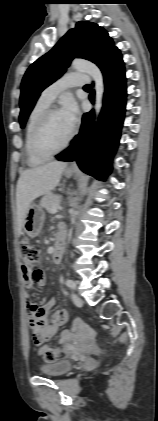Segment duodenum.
<instances>
[{
    "instance_id": "duodenum-1",
    "label": "duodenum",
    "mask_w": 158,
    "mask_h": 421,
    "mask_svg": "<svg viewBox=\"0 0 158 421\" xmlns=\"http://www.w3.org/2000/svg\"><path fill=\"white\" fill-rule=\"evenodd\" d=\"M65 236L64 234H61L58 237L57 243L55 245L54 251H53V261L55 263H60L65 252Z\"/></svg>"
}]
</instances>
